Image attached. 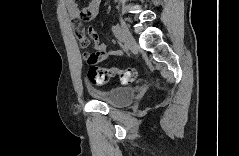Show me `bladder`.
<instances>
[{"instance_id":"bladder-1","label":"bladder","mask_w":239,"mask_h":156,"mask_svg":"<svg viewBox=\"0 0 239 156\" xmlns=\"http://www.w3.org/2000/svg\"><path fill=\"white\" fill-rule=\"evenodd\" d=\"M88 92L98 101L115 107H123L134 100L136 90L132 86H125L114 87L106 90L88 88Z\"/></svg>"}]
</instances>
